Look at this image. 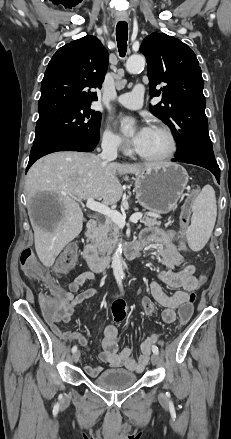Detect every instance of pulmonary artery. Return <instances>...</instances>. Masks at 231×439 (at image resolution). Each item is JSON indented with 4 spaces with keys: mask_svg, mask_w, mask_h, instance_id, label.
I'll return each mask as SVG.
<instances>
[{
    "mask_svg": "<svg viewBox=\"0 0 231 439\" xmlns=\"http://www.w3.org/2000/svg\"><path fill=\"white\" fill-rule=\"evenodd\" d=\"M145 88L143 85H136L132 91L119 95L116 101L129 109H139L143 104Z\"/></svg>",
    "mask_w": 231,
    "mask_h": 439,
    "instance_id": "obj_1",
    "label": "pulmonary artery"
}]
</instances>
